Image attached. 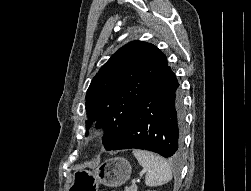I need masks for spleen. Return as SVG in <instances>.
Instances as JSON below:
<instances>
[{"mask_svg":"<svg viewBox=\"0 0 251 191\" xmlns=\"http://www.w3.org/2000/svg\"><path fill=\"white\" fill-rule=\"evenodd\" d=\"M132 153L138 159L140 165L147 169L146 185H163V183L172 179L171 167L161 155L146 151V149H133Z\"/></svg>","mask_w":251,"mask_h":191,"instance_id":"spleen-1","label":"spleen"}]
</instances>
